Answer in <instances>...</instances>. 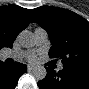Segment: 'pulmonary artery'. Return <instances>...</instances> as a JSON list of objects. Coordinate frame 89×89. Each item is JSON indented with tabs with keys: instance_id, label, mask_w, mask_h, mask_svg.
Wrapping results in <instances>:
<instances>
[{
	"instance_id": "1",
	"label": "pulmonary artery",
	"mask_w": 89,
	"mask_h": 89,
	"mask_svg": "<svg viewBox=\"0 0 89 89\" xmlns=\"http://www.w3.org/2000/svg\"><path fill=\"white\" fill-rule=\"evenodd\" d=\"M48 34L44 29L38 28L34 32V38L38 45H43L47 41ZM62 66H60V69Z\"/></svg>"
}]
</instances>
